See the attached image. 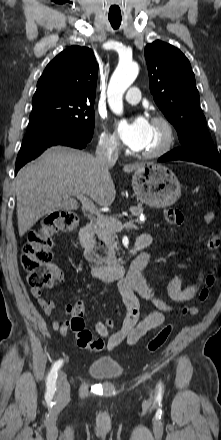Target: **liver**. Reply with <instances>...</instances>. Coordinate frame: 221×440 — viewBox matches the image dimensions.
I'll return each instance as SVG.
<instances>
[{"instance_id": "obj_1", "label": "liver", "mask_w": 221, "mask_h": 440, "mask_svg": "<svg viewBox=\"0 0 221 440\" xmlns=\"http://www.w3.org/2000/svg\"><path fill=\"white\" fill-rule=\"evenodd\" d=\"M141 165H124L123 171L129 173ZM111 167L90 153L54 146L21 168L15 180L19 236L47 214L77 210L73 196L78 194L89 196L100 206H110L116 194Z\"/></svg>"}]
</instances>
